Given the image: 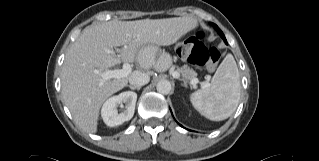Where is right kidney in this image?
I'll use <instances>...</instances> for the list:
<instances>
[{"label":"right kidney","mask_w":319,"mask_h":161,"mask_svg":"<svg viewBox=\"0 0 319 161\" xmlns=\"http://www.w3.org/2000/svg\"><path fill=\"white\" fill-rule=\"evenodd\" d=\"M136 100L137 94L132 91L122 92L109 98L101 109V116L105 124L113 127L129 121L134 115ZM123 104H125L124 111L118 113V106L123 107Z\"/></svg>","instance_id":"right-kidney-1"}]
</instances>
